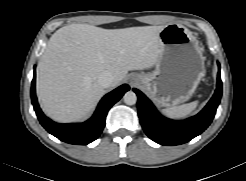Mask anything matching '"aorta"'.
<instances>
[{
  "instance_id": "aorta-1",
  "label": "aorta",
  "mask_w": 246,
  "mask_h": 181,
  "mask_svg": "<svg viewBox=\"0 0 246 181\" xmlns=\"http://www.w3.org/2000/svg\"><path fill=\"white\" fill-rule=\"evenodd\" d=\"M124 102L127 105H134L137 102V95L133 91H128L123 96Z\"/></svg>"
}]
</instances>
